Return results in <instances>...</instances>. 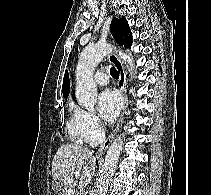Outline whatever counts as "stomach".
<instances>
[{
  "label": "stomach",
  "mask_w": 211,
  "mask_h": 195,
  "mask_svg": "<svg viewBox=\"0 0 211 195\" xmlns=\"http://www.w3.org/2000/svg\"><path fill=\"white\" fill-rule=\"evenodd\" d=\"M61 183L58 182L57 186L55 185V187L58 189L60 187Z\"/></svg>",
  "instance_id": "obj_1"
}]
</instances>
